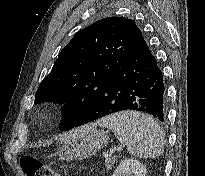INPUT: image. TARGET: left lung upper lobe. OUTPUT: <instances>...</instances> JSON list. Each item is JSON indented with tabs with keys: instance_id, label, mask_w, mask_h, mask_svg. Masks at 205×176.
I'll use <instances>...</instances> for the list:
<instances>
[{
	"instance_id": "left-lung-upper-lobe-1",
	"label": "left lung upper lobe",
	"mask_w": 205,
	"mask_h": 176,
	"mask_svg": "<svg viewBox=\"0 0 205 176\" xmlns=\"http://www.w3.org/2000/svg\"><path fill=\"white\" fill-rule=\"evenodd\" d=\"M143 40L135 22L123 17L104 18L82 29L60 52L34 103H66L60 128L72 129Z\"/></svg>"
}]
</instances>
